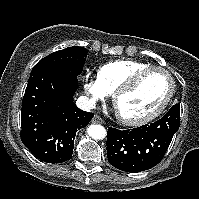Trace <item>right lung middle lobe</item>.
Masks as SVG:
<instances>
[{
  "label": "right lung middle lobe",
  "instance_id": "obj_1",
  "mask_svg": "<svg viewBox=\"0 0 199 199\" xmlns=\"http://www.w3.org/2000/svg\"><path fill=\"white\" fill-rule=\"evenodd\" d=\"M87 50L83 47L73 46L63 50L56 51L41 59L32 69L36 71L43 68H65L71 71L74 75L81 74Z\"/></svg>",
  "mask_w": 199,
  "mask_h": 199
}]
</instances>
